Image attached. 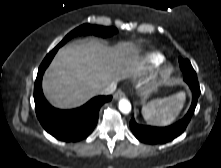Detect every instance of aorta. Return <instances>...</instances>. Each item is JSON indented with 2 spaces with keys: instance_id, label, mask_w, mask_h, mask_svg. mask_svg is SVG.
Listing matches in <instances>:
<instances>
[{
  "instance_id": "obj_1",
  "label": "aorta",
  "mask_w": 221,
  "mask_h": 168,
  "mask_svg": "<svg viewBox=\"0 0 221 168\" xmlns=\"http://www.w3.org/2000/svg\"><path fill=\"white\" fill-rule=\"evenodd\" d=\"M119 110L124 113L128 114L131 111V103L127 99H121L119 101Z\"/></svg>"
}]
</instances>
